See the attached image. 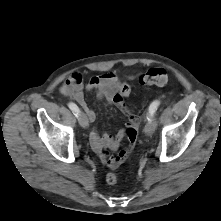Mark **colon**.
<instances>
[{"label":"colon","instance_id":"1","mask_svg":"<svg viewBox=\"0 0 221 221\" xmlns=\"http://www.w3.org/2000/svg\"><path fill=\"white\" fill-rule=\"evenodd\" d=\"M139 81L143 85L147 86H162L165 85L168 81V74L165 69L163 68H150L145 73H143ZM130 87L127 84H123L119 90V92L115 95L114 102L116 105H118L123 111H127L126 105H125V97H127L130 94ZM138 127H139V120L135 122L134 124L130 125L126 129V139H127V145L124 149H122L117 155L111 156L107 160V166L114 169L116 168L124 159L127 158V156L132 151L135 142L137 140L138 136ZM106 182L109 185H114L118 182V175L114 171H109L106 174Z\"/></svg>","mask_w":221,"mask_h":221}]
</instances>
